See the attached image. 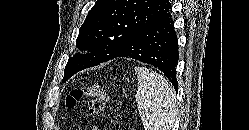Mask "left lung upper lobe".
Wrapping results in <instances>:
<instances>
[{
	"label": "left lung upper lobe",
	"mask_w": 249,
	"mask_h": 130,
	"mask_svg": "<svg viewBox=\"0 0 249 130\" xmlns=\"http://www.w3.org/2000/svg\"><path fill=\"white\" fill-rule=\"evenodd\" d=\"M170 8L168 0H98L76 41L80 50L90 53H77L68 61L63 82L83 69L111 60L136 33Z\"/></svg>",
	"instance_id": "obj_1"
}]
</instances>
